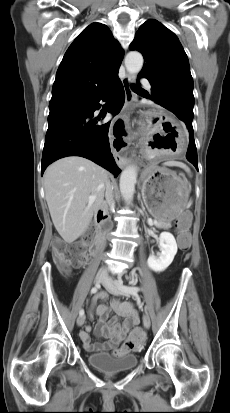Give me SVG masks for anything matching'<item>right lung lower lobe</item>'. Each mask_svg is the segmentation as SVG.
I'll use <instances>...</instances> for the list:
<instances>
[{"label": "right lung lower lobe", "mask_w": 230, "mask_h": 413, "mask_svg": "<svg viewBox=\"0 0 230 413\" xmlns=\"http://www.w3.org/2000/svg\"><path fill=\"white\" fill-rule=\"evenodd\" d=\"M101 100H112L108 112L114 115L120 112L125 94L119 78L89 101L50 111L42 155V175L49 164L67 156L88 158L112 172L115 177L120 173L108 140L110 122L98 124L101 116L93 115L100 108Z\"/></svg>", "instance_id": "98d812e1"}]
</instances>
